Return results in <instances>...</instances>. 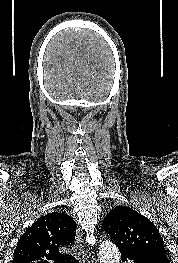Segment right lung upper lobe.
Listing matches in <instances>:
<instances>
[{"mask_svg":"<svg viewBox=\"0 0 178 263\" xmlns=\"http://www.w3.org/2000/svg\"><path fill=\"white\" fill-rule=\"evenodd\" d=\"M77 225L64 213H48L21 236L12 263H76L72 255L60 252L75 240Z\"/></svg>","mask_w":178,"mask_h":263,"instance_id":"1","label":"right lung upper lobe"}]
</instances>
